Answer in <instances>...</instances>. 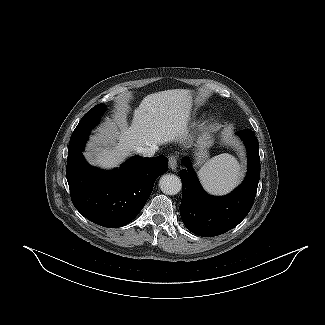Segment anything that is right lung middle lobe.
Instances as JSON below:
<instances>
[{"mask_svg": "<svg viewBox=\"0 0 325 325\" xmlns=\"http://www.w3.org/2000/svg\"><path fill=\"white\" fill-rule=\"evenodd\" d=\"M105 108L106 106L104 104L94 106L82 117L74 132L83 133L85 131H90L93 127H95V125H97L102 114L105 112Z\"/></svg>", "mask_w": 325, "mask_h": 325, "instance_id": "right-lung-middle-lobe-1", "label": "right lung middle lobe"}]
</instances>
